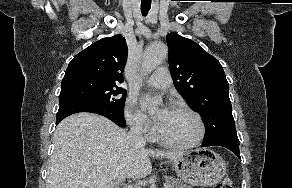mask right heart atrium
Segmentation results:
<instances>
[{"mask_svg": "<svg viewBox=\"0 0 292 188\" xmlns=\"http://www.w3.org/2000/svg\"><path fill=\"white\" fill-rule=\"evenodd\" d=\"M125 119L135 133L148 136L152 132V126L146 116L135 108L134 100L127 99L124 111Z\"/></svg>", "mask_w": 292, "mask_h": 188, "instance_id": "d8ad5b80", "label": "right heart atrium"}]
</instances>
